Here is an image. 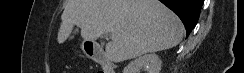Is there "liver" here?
I'll list each match as a JSON object with an SVG mask.
<instances>
[{"label": "liver", "mask_w": 244, "mask_h": 73, "mask_svg": "<svg viewBox=\"0 0 244 73\" xmlns=\"http://www.w3.org/2000/svg\"><path fill=\"white\" fill-rule=\"evenodd\" d=\"M61 20L59 44L75 25L87 41L115 35L106 55L116 63L175 47L184 34L181 20L158 0H68Z\"/></svg>", "instance_id": "obj_1"}]
</instances>
